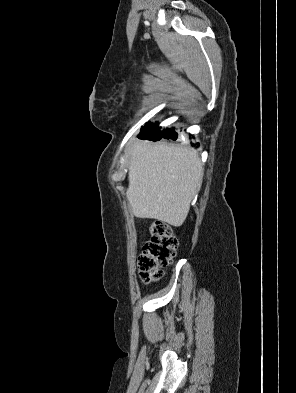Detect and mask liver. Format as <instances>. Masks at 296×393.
<instances>
[{
  "instance_id": "obj_1",
  "label": "liver",
  "mask_w": 296,
  "mask_h": 393,
  "mask_svg": "<svg viewBox=\"0 0 296 393\" xmlns=\"http://www.w3.org/2000/svg\"><path fill=\"white\" fill-rule=\"evenodd\" d=\"M127 199L138 218L181 226L201 187L203 165L194 151L167 142L135 140L127 151Z\"/></svg>"
}]
</instances>
